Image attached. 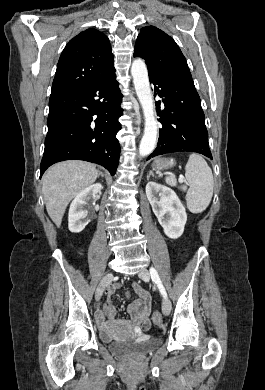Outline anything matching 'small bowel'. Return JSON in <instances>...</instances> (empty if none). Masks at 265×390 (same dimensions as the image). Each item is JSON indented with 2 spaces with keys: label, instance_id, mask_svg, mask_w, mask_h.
<instances>
[{
  "label": "small bowel",
  "instance_id": "1",
  "mask_svg": "<svg viewBox=\"0 0 265 390\" xmlns=\"http://www.w3.org/2000/svg\"><path fill=\"white\" fill-rule=\"evenodd\" d=\"M135 292L138 294L139 298L134 300L128 305L127 311L130 315L131 321L134 324L136 331L142 333L144 330H147L150 325V314H151V298L146 290H144L137 283L133 284ZM114 292V287L109 289L108 294L111 295ZM116 315V309L111 304L108 303L105 306L104 312L98 311L96 313L97 322L101 330L102 336L105 339H109L110 335L108 332V325L106 319L112 321Z\"/></svg>",
  "mask_w": 265,
  "mask_h": 390
}]
</instances>
